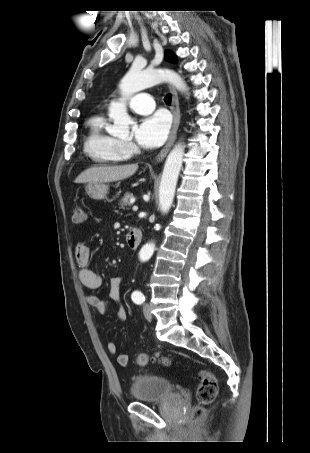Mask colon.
<instances>
[{
	"instance_id": "1",
	"label": "colon",
	"mask_w": 310,
	"mask_h": 453,
	"mask_svg": "<svg viewBox=\"0 0 310 453\" xmlns=\"http://www.w3.org/2000/svg\"><path fill=\"white\" fill-rule=\"evenodd\" d=\"M84 209L77 205L74 207L72 220L76 224H80L85 220ZM150 358L147 353L140 352L136 356V365L145 366L149 362ZM160 362L164 365L170 363L166 357H161ZM199 384L196 390V399L198 405L195 406L191 413V421H198L204 414V407L211 404L218 393V381L214 374L209 371H201L198 375Z\"/></svg>"
}]
</instances>
